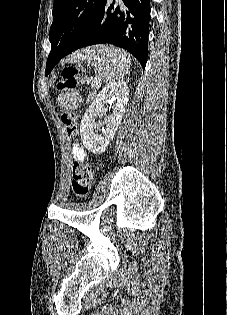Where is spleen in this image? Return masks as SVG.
<instances>
[{"instance_id":"obj_1","label":"spleen","mask_w":227,"mask_h":315,"mask_svg":"<svg viewBox=\"0 0 227 315\" xmlns=\"http://www.w3.org/2000/svg\"><path fill=\"white\" fill-rule=\"evenodd\" d=\"M67 61L70 63L91 62L99 74L104 75L109 82L122 79L128 73L130 66V58L127 57V53L111 46H96L76 51ZM60 101L65 102L66 106L76 108L80 98L76 94H65Z\"/></svg>"}]
</instances>
